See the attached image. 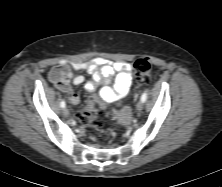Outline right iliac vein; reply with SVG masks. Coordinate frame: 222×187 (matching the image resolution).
<instances>
[{
  "label": "right iliac vein",
  "mask_w": 222,
  "mask_h": 187,
  "mask_svg": "<svg viewBox=\"0 0 222 187\" xmlns=\"http://www.w3.org/2000/svg\"><path fill=\"white\" fill-rule=\"evenodd\" d=\"M62 113H63L64 116H68L69 115V110L67 108H64L62 110Z\"/></svg>",
  "instance_id": "obj_1"
}]
</instances>
